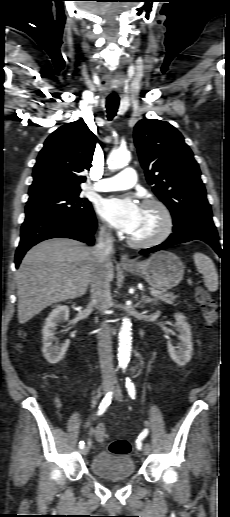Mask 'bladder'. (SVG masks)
<instances>
[{
  "instance_id": "obj_1",
  "label": "bladder",
  "mask_w": 230,
  "mask_h": 517,
  "mask_svg": "<svg viewBox=\"0 0 230 517\" xmlns=\"http://www.w3.org/2000/svg\"><path fill=\"white\" fill-rule=\"evenodd\" d=\"M90 471L103 479H124L134 475L135 465L127 454L100 452L93 457Z\"/></svg>"
}]
</instances>
